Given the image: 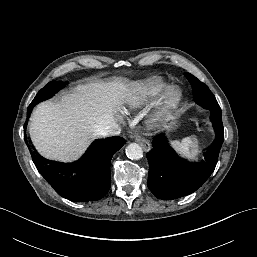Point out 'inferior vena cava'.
<instances>
[{"instance_id":"1","label":"inferior vena cava","mask_w":257,"mask_h":257,"mask_svg":"<svg viewBox=\"0 0 257 257\" xmlns=\"http://www.w3.org/2000/svg\"><path fill=\"white\" fill-rule=\"evenodd\" d=\"M120 133H121V129L115 123H111L105 126L100 132V134L103 136H116V135H119Z\"/></svg>"}]
</instances>
